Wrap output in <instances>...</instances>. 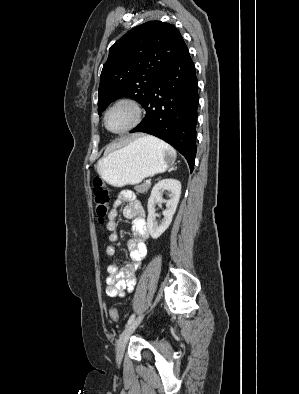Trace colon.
I'll return each instance as SVG.
<instances>
[{"mask_svg":"<svg viewBox=\"0 0 299 394\" xmlns=\"http://www.w3.org/2000/svg\"><path fill=\"white\" fill-rule=\"evenodd\" d=\"M93 197L96 215L100 222H103L108 215V207L110 203V193L103 180L99 177L94 179ZM119 314L116 308L110 310V318L116 322Z\"/></svg>","mask_w":299,"mask_h":394,"instance_id":"5ec220e1","label":"colon"}]
</instances>
